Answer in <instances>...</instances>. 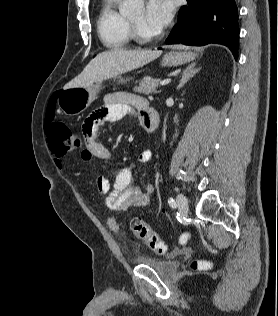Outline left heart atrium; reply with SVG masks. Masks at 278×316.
<instances>
[{
    "mask_svg": "<svg viewBox=\"0 0 278 316\" xmlns=\"http://www.w3.org/2000/svg\"><path fill=\"white\" fill-rule=\"evenodd\" d=\"M174 15L173 0H148L144 21L147 27L159 32L165 28Z\"/></svg>",
    "mask_w": 278,
    "mask_h": 316,
    "instance_id": "left-heart-atrium-1",
    "label": "left heart atrium"
}]
</instances>
